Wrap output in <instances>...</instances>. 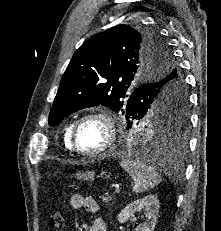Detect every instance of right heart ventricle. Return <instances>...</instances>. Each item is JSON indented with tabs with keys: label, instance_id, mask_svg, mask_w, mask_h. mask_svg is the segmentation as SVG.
<instances>
[{
	"label": "right heart ventricle",
	"instance_id": "obj_1",
	"mask_svg": "<svg viewBox=\"0 0 221 231\" xmlns=\"http://www.w3.org/2000/svg\"><path fill=\"white\" fill-rule=\"evenodd\" d=\"M72 126H73V122L67 123L66 126L64 127V131H63V143H64L66 150H68V151H72V147H71V143H70Z\"/></svg>",
	"mask_w": 221,
	"mask_h": 231
}]
</instances>
